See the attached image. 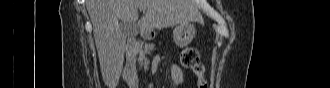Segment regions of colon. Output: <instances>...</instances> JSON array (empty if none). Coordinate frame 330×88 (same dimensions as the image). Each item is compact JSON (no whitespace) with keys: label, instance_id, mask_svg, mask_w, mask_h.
Masks as SVG:
<instances>
[{"label":"colon","instance_id":"obj_1","mask_svg":"<svg viewBox=\"0 0 330 88\" xmlns=\"http://www.w3.org/2000/svg\"><path fill=\"white\" fill-rule=\"evenodd\" d=\"M182 65L192 71L198 78V88H207L205 80V67L200 61V55L196 48L188 47L183 50L181 55Z\"/></svg>","mask_w":330,"mask_h":88}]
</instances>
